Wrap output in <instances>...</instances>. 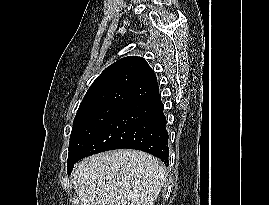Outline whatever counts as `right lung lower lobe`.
Here are the masks:
<instances>
[{"mask_svg": "<svg viewBox=\"0 0 269 205\" xmlns=\"http://www.w3.org/2000/svg\"><path fill=\"white\" fill-rule=\"evenodd\" d=\"M122 148L145 151L168 166V132L159 94L114 116L81 149L76 162L96 153Z\"/></svg>", "mask_w": 269, "mask_h": 205, "instance_id": "1", "label": "right lung lower lobe"}]
</instances>
